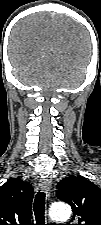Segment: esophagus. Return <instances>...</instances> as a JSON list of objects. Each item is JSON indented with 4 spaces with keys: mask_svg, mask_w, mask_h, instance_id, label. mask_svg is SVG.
I'll use <instances>...</instances> for the list:
<instances>
[{
    "mask_svg": "<svg viewBox=\"0 0 101 225\" xmlns=\"http://www.w3.org/2000/svg\"><path fill=\"white\" fill-rule=\"evenodd\" d=\"M39 186L41 190L46 193L47 198H49L51 195V188H52L51 181L49 179H43L40 181Z\"/></svg>",
    "mask_w": 101,
    "mask_h": 225,
    "instance_id": "1",
    "label": "esophagus"
}]
</instances>
